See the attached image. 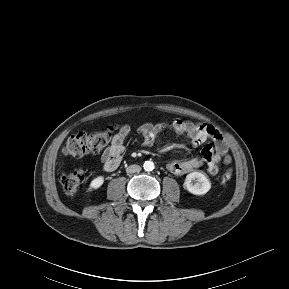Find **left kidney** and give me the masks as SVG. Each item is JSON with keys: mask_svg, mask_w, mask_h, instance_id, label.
Returning a JSON list of instances; mask_svg holds the SVG:
<instances>
[{"mask_svg": "<svg viewBox=\"0 0 289 289\" xmlns=\"http://www.w3.org/2000/svg\"><path fill=\"white\" fill-rule=\"evenodd\" d=\"M183 187L194 195H204L210 190L211 183L204 173L194 171L186 176Z\"/></svg>", "mask_w": 289, "mask_h": 289, "instance_id": "left-kidney-1", "label": "left kidney"}]
</instances>
